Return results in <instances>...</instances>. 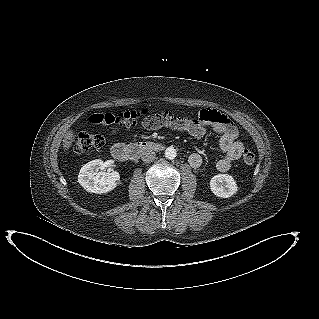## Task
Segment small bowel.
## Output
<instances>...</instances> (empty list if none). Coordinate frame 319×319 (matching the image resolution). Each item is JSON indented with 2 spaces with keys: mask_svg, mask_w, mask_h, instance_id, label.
I'll use <instances>...</instances> for the list:
<instances>
[{
  "mask_svg": "<svg viewBox=\"0 0 319 319\" xmlns=\"http://www.w3.org/2000/svg\"><path fill=\"white\" fill-rule=\"evenodd\" d=\"M92 123H104L102 114L89 116ZM142 126L146 129L157 130L168 127L173 130L185 132L193 138L201 139L208 129H212L219 136L218 143L224 155L216 162V168L221 172L228 171L238 160L244 150L239 141V131L235 124L224 114L214 109H203L197 118L177 116L171 110H163L158 114L143 120ZM203 159L199 153H192L188 158L191 167L197 169L202 165Z\"/></svg>",
  "mask_w": 319,
  "mask_h": 319,
  "instance_id": "small-bowel-1",
  "label": "small bowel"
}]
</instances>
